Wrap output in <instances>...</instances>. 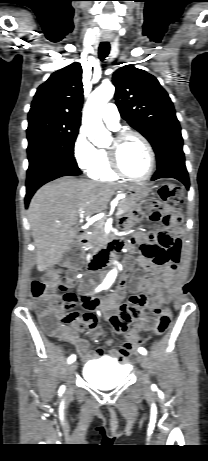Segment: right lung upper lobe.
<instances>
[{
  "instance_id": "1",
  "label": "right lung upper lobe",
  "mask_w": 208,
  "mask_h": 461,
  "mask_svg": "<svg viewBox=\"0 0 208 461\" xmlns=\"http://www.w3.org/2000/svg\"><path fill=\"white\" fill-rule=\"evenodd\" d=\"M82 103V67L72 63L54 72L38 87L28 119H61L80 124Z\"/></svg>"
}]
</instances>
